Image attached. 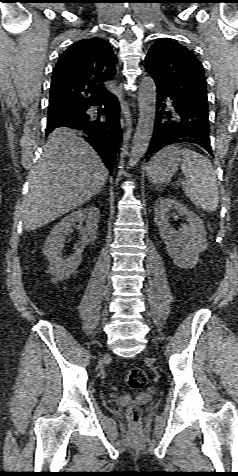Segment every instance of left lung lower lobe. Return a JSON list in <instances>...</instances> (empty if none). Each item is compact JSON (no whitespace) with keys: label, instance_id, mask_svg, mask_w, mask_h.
<instances>
[{"label":"left lung lower lobe","instance_id":"obj_1","mask_svg":"<svg viewBox=\"0 0 238 476\" xmlns=\"http://www.w3.org/2000/svg\"><path fill=\"white\" fill-rule=\"evenodd\" d=\"M175 143L194 144L213 156L208 110L181 103L172 95L157 89L156 117L147 156L151 157Z\"/></svg>","mask_w":238,"mask_h":476}]
</instances>
